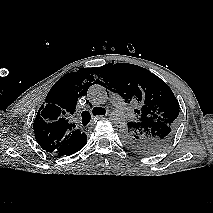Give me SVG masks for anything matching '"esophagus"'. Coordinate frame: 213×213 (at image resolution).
I'll list each match as a JSON object with an SVG mask.
<instances>
[{
	"mask_svg": "<svg viewBox=\"0 0 213 213\" xmlns=\"http://www.w3.org/2000/svg\"><path fill=\"white\" fill-rule=\"evenodd\" d=\"M102 118H104L103 115L96 116V117L94 118V121H92V122L89 124V126L87 127V129H88V130L92 129L93 126H94V124H95V120H99V119H102Z\"/></svg>",
	"mask_w": 213,
	"mask_h": 213,
	"instance_id": "esophagus-1",
	"label": "esophagus"
}]
</instances>
